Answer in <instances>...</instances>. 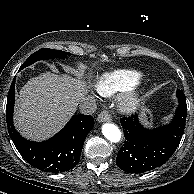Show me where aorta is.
<instances>
[{
	"label": "aorta",
	"instance_id": "aorta-1",
	"mask_svg": "<svg viewBox=\"0 0 194 194\" xmlns=\"http://www.w3.org/2000/svg\"><path fill=\"white\" fill-rule=\"evenodd\" d=\"M102 133L111 142H119L122 138L121 130L112 123H105L102 126Z\"/></svg>",
	"mask_w": 194,
	"mask_h": 194
}]
</instances>
